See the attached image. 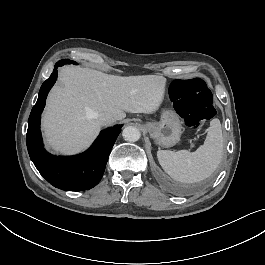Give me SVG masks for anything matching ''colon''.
<instances>
[{
	"mask_svg": "<svg viewBox=\"0 0 265 265\" xmlns=\"http://www.w3.org/2000/svg\"><path fill=\"white\" fill-rule=\"evenodd\" d=\"M168 83L169 90L166 95L169 99L178 102V110L187 125L199 129L202 124L215 117L213 91L210 90L211 84L206 76L198 74L191 79L173 78Z\"/></svg>",
	"mask_w": 265,
	"mask_h": 265,
	"instance_id": "1",
	"label": "colon"
}]
</instances>
